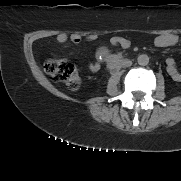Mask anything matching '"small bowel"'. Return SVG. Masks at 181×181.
I'll use <instances>...</instances> for the list:
<instances>
[{"instance_id":"obj_1","label":"small bowel","mask_w":181,"mask_h":181,"mask_svg":"<svg viewBox=\"0 0 181 181\" xmlns=\"http://www.w3.org/2000/svg\"><path fill=\"white\" fill-rule=\"evenodd\" d=\"M96 36L90 35L87 37L88 41H94ZM56 41L62 45L79 44L82 41V37L78 34L67 35L65 33H60L56 36ZM180 38L177 34L165 33L157 36L154 40V44L157 47L164 48L176 45L180 42ZM112 44L115 47L127 48L130 43L127 39L122 37L112 38ZM100 67L99 63L90 64V69L92 71L98 70ZM166 70L169 76L176 82H181V72L178 70L176 63L173 59H167L166 61Z\"/></svg>"}]
</instances>
